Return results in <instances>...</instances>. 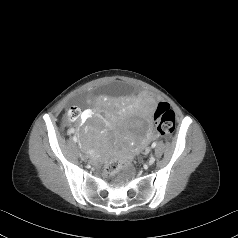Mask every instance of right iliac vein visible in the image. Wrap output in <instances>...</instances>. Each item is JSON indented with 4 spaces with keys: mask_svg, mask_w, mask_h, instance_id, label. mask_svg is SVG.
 <instances>
[{
    "mask_svg": "<svg viewBox=\"0 0 238 238\" xmlns=\"http://www.w3.org/2000/svg\"><path fill=\"white\" fill-rule=\"evenodd\" d=\"M78 155H79V158H82L83 157V154L81 151H78Z\"/></svg>",
    "mask_w": 238,
    "mask_h": 238,
    "instance_id": "obj_1",
    "label": "right iliac vein"
}]
</instances>
